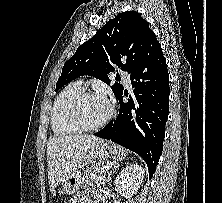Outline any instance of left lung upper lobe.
I'll use <instances>...</instances> for the list:
<instances>
[{
	"label": "left lung upper lobe",
	"mask_w": 222,
	"mask_h": 203,
	"mask_svg": "<svg viewBox=\"0 0 222 203\" xmlns=\"http://www.w3.org/2000/svg\"><path fill=\"white\" fill-rule=\"evenodd\" d=\"M151 32L147 21L138 12L118 14L66 61L56 83V91L83 75L94 76L110 84L108 73L114 71V65L130 72L141 58ZM111 88L116 97L123 91V86L117 82Z\"/></svg>",
	"instance_id": "5c2ea615"
}]
</instances>
